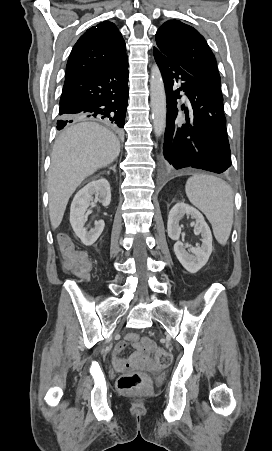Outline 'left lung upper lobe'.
Instances as JSON below:
<instances>
[{
    "instance_id": "obj_1",
    "label": "left lung upper lobe",
    "mask_w": 272,
    "mask_h": 451,
    "mask_svg": "<svg viewBox=\"0 0 272 451\" xmlns=\"http://www.w3.org/2000/svg\"><path fill=\"white\" fill-rule=\"evenodd\" d=\"M156 47L223 99L214 54L196 29L169 20L156 33Z\"/></svg>"
}]
</instances>
